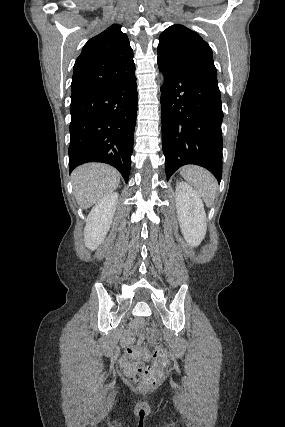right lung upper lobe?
Wrapping results in <instances>:
<instances>
[{"mask_svg": "<svg viewBox=\"0 0 285 427\" xmlns=\"http://www.w3.org/2000/svg\"><path fill=\"white\" fill-rule=\"evenodd\" d=\"M120 28L112 25L84 45L73 69L71 98L124 82L135 73L133 50Z\"/></svg>", "mask_w": 285, "mask_h": 427, "instance_id": "obj_1", "label": "right lung upper lobe"}]
</instances>
